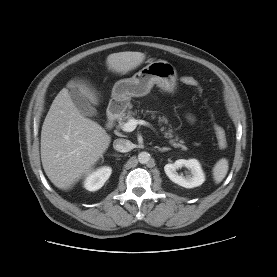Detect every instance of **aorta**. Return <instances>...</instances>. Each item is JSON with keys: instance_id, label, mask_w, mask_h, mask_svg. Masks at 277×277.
<instances>
[{"instance_id": "762f6f07", "label": "aorta", "mask_w": 277, "mask_h": 277, "mask_svg": "<svg viewBox=\"0 0 277 277\" xmlns=\"http://www.w3.org/2000/svg\"><path fill=\"white\" fill-rule=\"evenodd\" d=\"M151 156L148 152H140L138 154V161L141 163V164H146L149 162Z\"/></svg>"}]
</instances>
